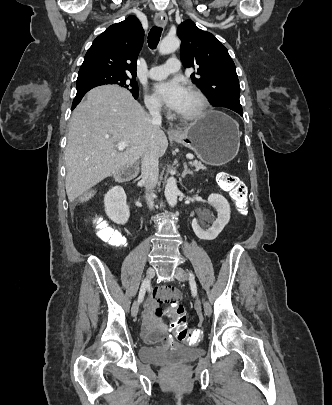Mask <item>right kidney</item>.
<instances>
[{"instance_id":"ca27d5eb","label":"right kidney","mask_w":332,"mask_h":405,"mask_svg":"<svg viewBox=\"0 0 332 405\" xmlns=\"http://www.w3.org/2000/svg\"><path fill=\"white\" fill-rule=\"evenodd\" d=\"M126 194L121 186H114L104 197L105 212L109 219L117 224H126L130 217Z\"/></svg>"}]
</instances>
